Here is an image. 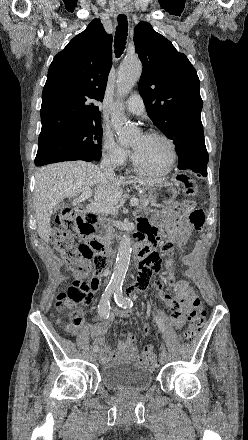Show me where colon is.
I'll return each mask as SVG.
<instances>
[{
    "mask_svg": "<svg viewBox=\"0 0 248 440\" xmlns=\"http://www.w3.org/2000/svg\"><path fill=\"white\" fill-rule=\"evenodd\" d=\"M179 180L184 185L185 193L188 196L197 193V185L190 177L181 175ZM184 208L188 212V223L191 229L201 230L205 222L204 213L196 209L191 202H186ZM82 225L83 216L71 207H64L55 218L52 234L54 247L65 261L68 270L73 272L75 276L67 290L57 296L56 307L58 310L88 305L96 288V282L94 279H88L87 275L96 271V267H106V258L92 244L87 242L75 244V239L79 237ZM185 238V236H180L172 240H165L161 245L163 255L173 257L175 245L183 242ZM158 257L160 256L158 255ZM189 319V325L182 335L185 341H191L200 332L205 323V313L193 311ZM72 322L76 326L80 325L82 316L74 314ZM150 331L148 325L142 328L144 335H148ZM143 361L151 368L157 365V358L151 345L144 346Z\"/></svg>",
    "mask_w": 248,
    "mask_h": 440,
    "instance_id": "colon-1",
    "label": "colon"
}]
</instances>
